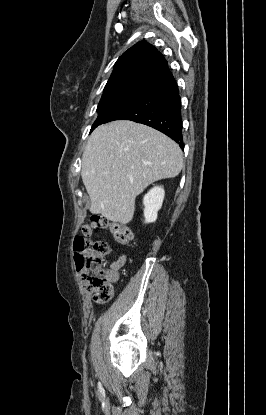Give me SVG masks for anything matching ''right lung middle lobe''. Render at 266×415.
<instances>
[{
    "mask_svg": "<svg viewBox=\"0 0 266 415\" xmlns=\"http://www.w3.org/2000/svg\"><path fill=\"white\" fill-rule=\"evenodd\" d=\"M148 94L149 93L134 90H117L104 92L97 107L99 115L92 125L90 132H92V130L98 125L107 123L109 118L115 113L140 101Z\"/></svg>",
    "mask_w": 266,
    "mask_h": 415,
    "instance_id": "right-lung-middle-lobe-1",
    "label": "right lung middle lobe"
}]
</instances>
